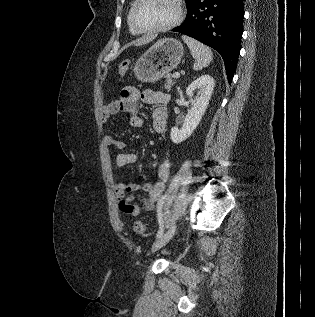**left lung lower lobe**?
Segmentation results:
<instances>
[{
  "mask_svg": "<svg viewBox=\"0 0 315 317\" xmlns=\"http://www.w3.org/2000/svg\"><path fill=\"white\" fill-rule=\"evenodd\" d=\"M244 0H192L185 21L172 29L215 49L223 58L232 82L243 33Z\"/></svg>",
  "mask_w": 315,
  "mask_h": 317,
  "instance_id": "1",
  "label": "left lung lower lobe"
}]
</instances>
